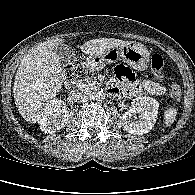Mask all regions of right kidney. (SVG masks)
<instances>
[{"instance_id": "1", "label": "right kidney", "mask_w": 195, "mask_h": 195, "mask_svg": "<svg viewBox=\"0 0 195 195\" xmlns=\"http://www.w3.org/2000/svg\"><path fill=\"white\" fill-rule=\"evenodd\" d=\"M68 118L69 113L63 101L53 99L39 121L40 129L45 133H55L65 127Z\"/></svg>"}]
</instances>
